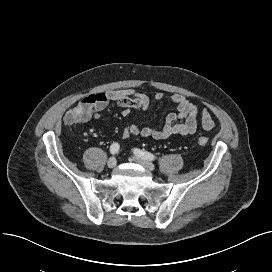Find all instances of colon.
Masks as SVG:
<instances>
[{
	"mask_svg": "<svg viewBox=\"0 0 272 272\" xmlns=\"http://www.w3.org/2000/svg\"><path fill=\"white\" fill-rule=\"evenodd\" d=\"M197 143L200 146H206L208 143V139L206 137H199Z\"/></svg>",
	"mask_w": 272,
	"mask_h": 272,
	"instance_id": "5ec220e1",
	"label": "colon"
}]
</instances>
